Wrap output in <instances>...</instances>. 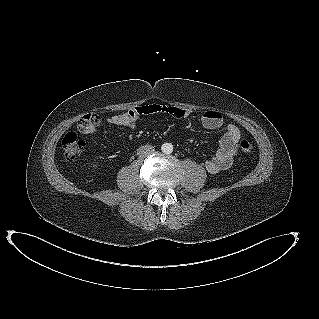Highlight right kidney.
<instances>
[{
    "instance_id": "1",
    "label": "right kidney",
    "mask_w": 319,
    "mask_h": 319,
    "mask_svg": "<svg viewBox=\"0 0 319 319\" xmlns=\"http://www.w3.org/2000/svg\"><path fill=\"white\" fill-rule=\"evenodd\" d=\"M97 166H98L97 162L92 164V167L95 168V169L97 168Z\"/></svg>"
}]
</instances>
